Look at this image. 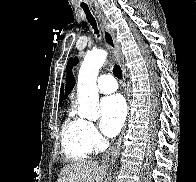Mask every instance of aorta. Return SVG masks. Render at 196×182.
I'll return each instance as SVG.
<instances>
[{"label": "aorta", "instance_id": "obj_1", "mask_svg": "<svg viewBox=\"0 0 196 182\" xmlns=\"http://www.w3.org/2000/svg\"><path fill=\"white\" fill-rule=\"evenodd\" d=\"M107 58V52L99 49L86 54L78 76V115L90 121L99 118V94L97 76Z\"/></svg>", "mask_w": 196, "mask_h": 182}]
</instances>
